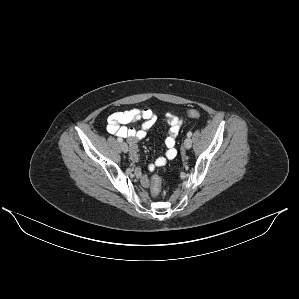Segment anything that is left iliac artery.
<instances>
[{
	"mask_svg": "<svg viewBox=\"0 0 299 299\" xmlns=\"http://www.w3.org/2000/svg\"><path fill=\"white\" fill-rule=\"evenodd\" d=\"M187 136H188V137H191V136H192V132H188V133H187Z\"/></svg>",
	"mask_w": 299,
	"mask_h": 299,
	"instance_id": "44dca946",
	"label": "left iliac artery"
}]
</instances>
